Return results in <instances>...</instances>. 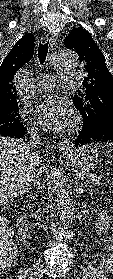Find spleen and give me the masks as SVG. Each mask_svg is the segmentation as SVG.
Masks as SVG:
<instances>
[{"label":"spleen","mask_w":113,"mask_h":279,"mask_svg":"<svg viewBox=\"0 0 113 279\" xmlns=\"http://www.w3.org/2000/svg\"><path fill=\"white\" fill-rule=\"evenodd\" d=\"M109 146H110V147H113V142H112V143H109Z\"/></svg>","instance_id":"obj_1"}]
</instances>
